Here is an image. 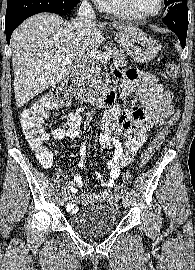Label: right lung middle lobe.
Masks as SVG:
<instances>
[{
    "label": "right lung middle lobe",
    "mask_w": 195,
    "mask_h": 270,
    "mask_svg": "<svg viewBox=\"0 0 195 270\" xmlns=\"http://www.w3.org/2000/svg\"><path fill=\"white\" fill-rule=\"evenodd\" d=\"M60 4L55 8L57 14H67L70 12L76 4L72 0H59Z\"/></svg>",
    "instance_id": "dd1d6c3e"
}]
</instances>
